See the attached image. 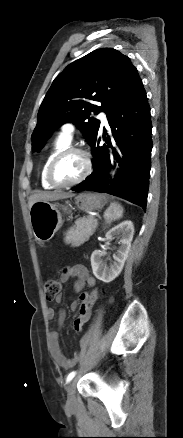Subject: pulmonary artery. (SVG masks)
Listing matches in <instances>:
<instances>
[{"mask_svg": "<svg viewBox=\"0 0 183 438\" xmlns=\"http://www.w3.org/2000/svg\"><path fill=\"white\" fill-rule=\"evenodd\" d=\"M99 118L101 119V121H102L104 124L107 122L106 114H105L104 112H102V113L99 114ZM73 131H74V127H73V125L70 124V123H66V124H64L63 127H62V133H63V135H65V136L68 137V138H71Z\"/></svg>", "mask_w": 183, "mask_h": 438, "instance_id": "obj_1", "label": "pulmonary artery"}]
</instances>
